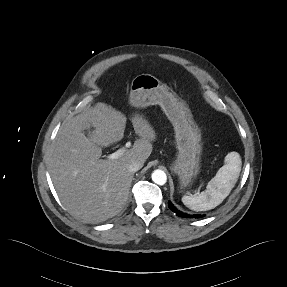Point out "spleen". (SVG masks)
<instances>
[{"label":"spleen","mask_w":287,"mask_h":287,"mask_svg":"<svg viewBox=\"0 0 287 287\" xmlns=\"http://www.w3.org/2000/svg\"><path fill=\"white\" fill-rule=\"evenodd\" d=\"M225 164L208 182L206 190L195 195L183 196V204L194 211L211 210L222 203L235 186L241 171L239 153L230 152L226 155Z\"/></svg>","instance_id":"1"}]
</instances>
